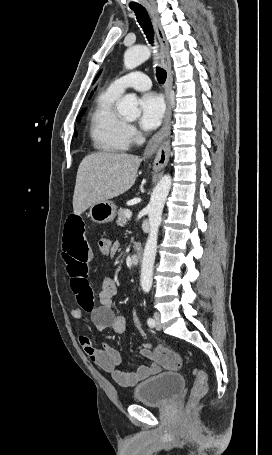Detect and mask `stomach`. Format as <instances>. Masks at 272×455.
Returning a JSON list of instances; mask_svg holds the SVG:
<instances>
[{
  "instance_id": "0dacf381",
  "label": "stomach",
  "mask_w": 272,
  "mask_h": 455,
  "mask_svg": "<svg viewBox=\"0 0 272 455\" xmlns=\"http://www.w3.org/2000/svg\"><path fill=\"white\" fill-rule=\"evenodd\" d=\"M89 216L98 224L111 222L116 216V206L110 200L96 203L90 207Z\"/></svg>"
}]
</instances>
